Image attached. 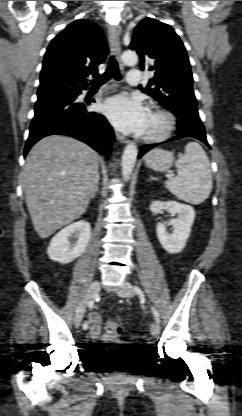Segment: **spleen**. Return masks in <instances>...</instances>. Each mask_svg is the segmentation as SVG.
I'll use <instances>...</instances> for the list:
<instances>
[{"instance_id":"spleen-1","label":"spleen","mask_w":242,"mask_h":416,"mask_svg":"<svg viewBox=\"0 0 242 416\" xmlns=\"http://www.w3.org/2000/svg\"><path fill=\"white\" fill-rule=\"evenodd\" d=\"M175 167L179 175L165 182L166 188L178 199L198 205L204 202L212 190V174L209 159L202 146L189 142Z\"/></svg>"}]
</instances>
